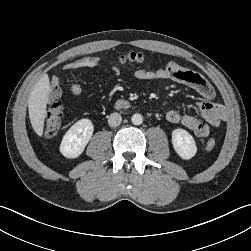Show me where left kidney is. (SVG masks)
<instances>
[{"instance_id":"left-kidney-1","label":"left kidney","mask_w":251,"mask_h":251,"mask_svg":"<svg viewBox=\"0 0 251 251\" xmlns=\"http://www.w3.org/2000/svg\"><path fill=\"white\" fill-rule=\"evenodd\" d=\"M172 144L176 153L184 160L191 159L197 152L194 138L181 128L172 131Z\"/></svg>"}]
</instances>
